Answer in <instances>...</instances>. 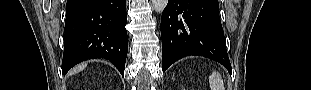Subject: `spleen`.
Segmentation results:
<instances>
[{
  "instance_id": "obj_1",
  "label": "spleen",
  "mask_w": 311,
  "mask_h": 90,
  "mask_svg": "<svg viewBox=\"0 0 311 90\" xmlns=\"http://www.w3.org/2000/svg\"><path fill=\"white\" fill-rule=\"evenodd\" d=\"M209 84L211 90H225L223 79L218 72H212V74L209 76Z\"/></svg>"
}]
</instances>
